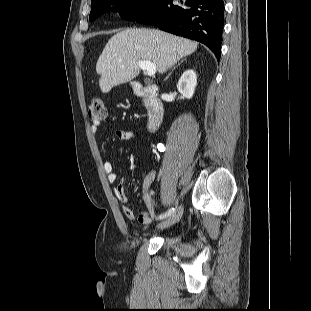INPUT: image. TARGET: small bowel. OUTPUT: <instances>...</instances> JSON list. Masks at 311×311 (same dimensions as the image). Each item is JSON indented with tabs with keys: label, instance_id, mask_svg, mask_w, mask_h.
Returning a JSON list of instances; mask_svg holds the SVG:
<instances>
[{
	"label": "small bowel",
	"instance_id": "small-bowel-1",
	"mask_svg": "<svg viewBox=\"0 0 311 311\" xmlns=\"http://www.w3.org/2000/svg\"><path fill=\"white\" fill-rule=\"evenodd\" d=\"M101 123L100 122H93L90 126V131L92 134H97L100 131ZM115 137L118 140H133L137 136L135 133L127 130H116L115 131ZM104 171L107 175V179L110 183H115L118 179L117 174L114 172V166L111 161H106L103 164ZM154 173H150L147 175L143 180V186H142V196L143 200L146 206V210L141 213L140 215L136 216L132 208L127 204V195L125 193V188L123 182H119L114 187V194L117 197V199L121 203L122 211L124 215L129 219H136L141 224H150L152 220L155 218V203L152 199V193L149 189L150 184L152 183L154 179Z\"/></svg>",
	"mask_w": 311,
	"mask_h": 311
}]
</instances>
